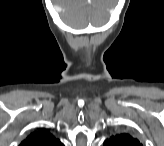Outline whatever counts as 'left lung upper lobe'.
<instances>
[{
	"label": "left lung upper lobe",
	"mask_w": 164,
	"mask_h": 146,
	"mask_svg": "<svg viewBox=\"0 0 164 146\" xmlns=\"http://www.w3.org/2000/svg\"><path fill=\"white\" fill-rule=\"evenodd\" d=\"M104 146H142L140 142L131 135L122 133L110 136L105 140Z\"/></svg>",
	"instance_id": "5c2ea615"
}]
</instances>
